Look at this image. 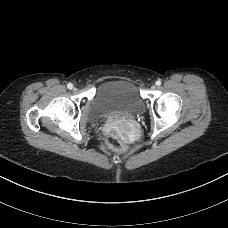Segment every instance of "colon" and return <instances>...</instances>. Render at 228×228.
Wrapping results in <instances>:
<instances>
[{"label": "colon", "mask_w": 228, "mask_h": 228, "mask_svg": "<svg viewBox=\"0 0 228 228\" xmlns=\"http://www.w3.org/2000/svg\"><path fill=\"white\" fill-rule=\"evenodd\" d=\"M109 147L117 152L124 153L126 151V144L123 137L117 132H111L107 137Z\"/></svg>", "instance_id": "1"}]
</instances>
